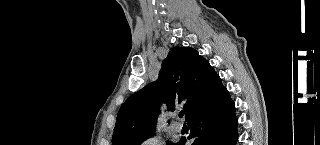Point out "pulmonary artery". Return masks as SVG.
I'll use <instances>...</instances> for the list:
<instances>
[{"label": "pulmonary artery", "mask_w": 320, "mask_h": 145, "mask_svg": "<svg viewBox=\"0 0 320 145\" xmlns=\"http://www.w3.org/2000/svg\"><path fill=\"white\" fill-rule=\"evenodd\" d=\"M183 128V125L180 123V122H177V121H174L172 124H171V129L174 131V132H180Z\"/></svg>", "instance_id": "1"}]
</instances>
